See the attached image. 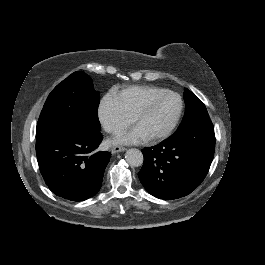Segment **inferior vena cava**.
<instances>
[{"label":"inferior vena cava","mask_w":265,"mask_h":265,"mask_svg":"<svg viewBox=\"0 0 265 265\" xmlns=\"http://www.w3.org/2000/svg\"><path fill=\"white\" fill-rule=\"evenodd\" d=\"M104 128L105 131L108 133H119L123 131L122 127L115 123H106L104 125Z\"/></svg>","instance_id":"obj_1"}]
</instances>
